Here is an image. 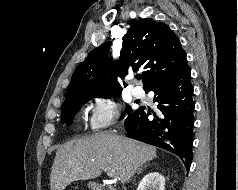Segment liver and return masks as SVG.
I'll return each instance as SVG.
<instances>
[{"label":"liver","instance_id":"liver-1","mask_svg":"<svg viewBox=\"0 0 238 190\" xmlns=\"http://www.w3.org/2000/svg\"><path fill=\"white\" fill-rule=\"evenodd\" d=\"M156 156L155 147L110 132L73 139L56 151L50 188L64 190L74 181L94 179L104 168L114 170L125 183L139 167Z\"/></svg>","mask_w":238,"mask_h":190}]
</instances>
